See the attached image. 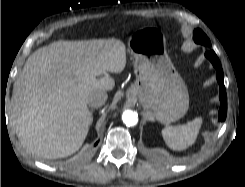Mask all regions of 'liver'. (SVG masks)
Returning a JSON list of instances; mask_svg holds the SVG:
<instances>
[{"label":"liver","mask_w":245,"mask_h":187,"mask_svg":"<svg viewBox=\"0 0 245 187\" xmlns=\"http://www.w3.org/2000/svg\"><path fill=\"white\" fill-rule=\"evenodd\" d=\"M126 46L118 39L55 41L25 62L13 87L10 119L23 147L46 159L65 158L80 149L93 117L89 95L109 91L120 73Z\"/></svg>","instance_id":"1"}]
</instances>
